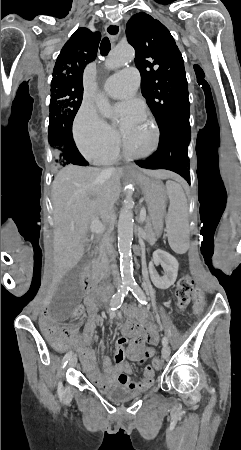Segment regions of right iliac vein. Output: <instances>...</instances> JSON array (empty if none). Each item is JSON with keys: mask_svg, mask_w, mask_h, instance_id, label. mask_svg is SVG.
Wrapping results in <instances>:
<instances>
[{"mask_svg": "<svg viewBox=\"0 0 241 450\" xmlns=\"http://www.w3.org/2000/svg\"><path fill=\"white\" fill-rule=\"evenodd\" d=\"M69 362H70V364H69L70 366L76 365V363H77V357L74 356V357L70 358V359H69ZM69 391H70V387L67 386V388L65 389L66 395H69Z\"/></svg>", "mask_w": 241, "mask_h": 450, "instance_id": "obj_1", "label": "right iliac vein"}]
</instances>
